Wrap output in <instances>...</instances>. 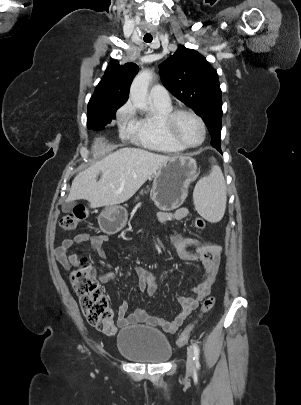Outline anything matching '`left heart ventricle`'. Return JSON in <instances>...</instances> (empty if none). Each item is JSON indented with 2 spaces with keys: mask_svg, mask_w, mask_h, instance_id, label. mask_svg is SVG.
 <instances>
[{
  "mask_svg": "<svg viewBox=\"0 0 301 405\" xmlns=\"http://www.w3.org/2000/svg\"><path fill=\"white\" fill-rule=\"evenodd\" d=\"M176 130L181 139L187 144L194 145L201 140V127L191 115L184 114L180 116L177 121Z\"/></svg>",
  "mask_w": 301,
  "mask_h": 405,
  "instance_id": "obj_1",
  "label": "left heart ventricle"
}]
</instances>
